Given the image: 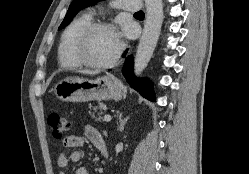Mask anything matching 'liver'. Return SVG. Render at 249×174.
I'll return each mask as SVG.
<instances>
[{
	"mask_svg": "<svg viewBox=\"0 0 249 174\" xmlns=\"http://www.w3.org/2000/svg\"><path fill=\"white\" fill-rule=\"evenodd\" d=\"M83 74H87V75H94L96 74V72L94 71H82Z\"/></svg>",
	"mask_w": 249,
	"mask_h": 174,
	"instance_id": "liver-1",
	"label": "liver"
}]
</instances>
